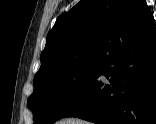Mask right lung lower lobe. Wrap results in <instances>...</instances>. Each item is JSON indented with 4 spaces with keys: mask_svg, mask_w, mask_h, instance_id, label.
Instances as JSON below:
<instances>
[{
    "mask_svg": "<svg viewBox=\"0 0 156 124\" xmlns=\"http://www.w3.org/2000/svg\"><path fill=\"white\" fill-rule=\"evenodd\" d=\"M99 124H156V28L111 46L78 99L61 114Z\"/></svg>",
    "mask_w": 156,
    "mask_h": 124,
    "instance_id": "right-lung-lower-lobe-1",
    "label": "right lung lower lobe"
}]
</instances>
